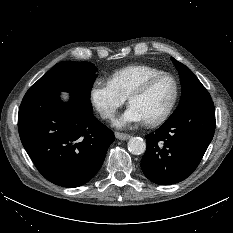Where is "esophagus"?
<instances>
[{"label": "esophagus", "instance_id": "esophagus-1", "mask_svg": "<svg viewBox=\"0 0 233 233\" xmlns=\"http://www.w3.org/2000/svg\"><path fill=\"white\" fill-rule=\"evenodd\" d=\"M115 136L119 140H128L131 137L129 134L121 132H115Z\"/></svg>", "mask_w": 233, "mask_h": 233}]
</instances>
